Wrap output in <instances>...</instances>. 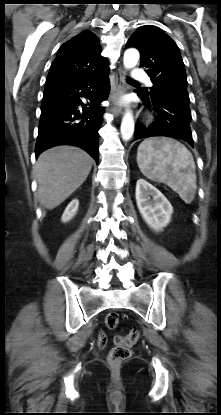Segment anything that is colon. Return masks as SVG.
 I'll return each instance as SVG.
<instances>
[{
	"label": "colon",
	"instance_id": "colon-1",
	"mask_svg": "<svg viewBox=\"0 0 221 415\" xmlns=\"http://www.w3.org/2000/svg\"><path fill=\"white\" fill-rule=\"evenodd\" d=\"M105 323L109 329H115L119 323V316L117 313L111 312L105 316ZM140 337L138 329H132L125 336H116L114 338V347L109 353V362L116 366L126 361L131 356V347L137 343ZM98 343L100 347L106 344V336L104 333L99 334Z\"/></svg>",
	"mask_w": 221,
	"mask_h": 415
}]
</instances>
